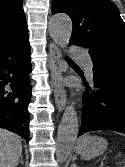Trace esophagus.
Wrapping results in <instances>:
<instances>
[{"instance_id": "esophagus-1", "label": "esophagus", "mask_w": 125, "mask_h": 167, "mask_svg": "<svg viewBox=\"0 0 125 167\" xmlns=\"http://www.w3.org/2000/svg\"><path fill=\"white\" fill-rule=\"evenodd\" d=\"M50 69L52 76V85L54 89V99L58 110L61 112L66 103V92L62 86V64L61 53L56 44L51 43L49 46Z\"/></svg>"}]
</instances>
